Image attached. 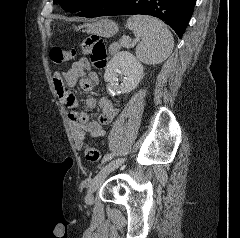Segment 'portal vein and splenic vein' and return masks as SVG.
I'll return each instance as SVG.
<instances>
[{
	"mask_svg": "<svg viewBox=\"0 0 240 238\" xmlns=\"http://www.w3.org/2000/svg\"><path fill=\"white\" fill-rule=\"evenodd\" d=\"M129 42H130V39H122L121 40V44L123 47H129Z\"/></svg>",
	"mask_w": 240,
	"mask_h": 238,
	"instance_id": "obj_1",
	"label": "portal vein and splenic vein"
}]
</instances>
